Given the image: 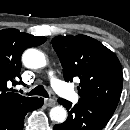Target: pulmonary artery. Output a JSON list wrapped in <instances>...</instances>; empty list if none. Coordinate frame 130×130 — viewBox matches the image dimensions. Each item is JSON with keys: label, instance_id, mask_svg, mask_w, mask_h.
Here are the masks:
<instances>
[{"label": "pulmonary artery", "instance_id": "obj_1", "mask_svg": "<svg viewBox=\"0 0 130 130\" xmlns=\"http://www.w3.org/2000/svg\"><path fill=\"white\" fill-rule=\"evenodd\" d=\"M51 84L54 90L61 96L65 97L70 101H76L78 99V95L76 92L71 90L64 82L54 77L53 73H49Z\"/></svg>", "mask_w": 130, "mask_h": 130}]
</instances>
